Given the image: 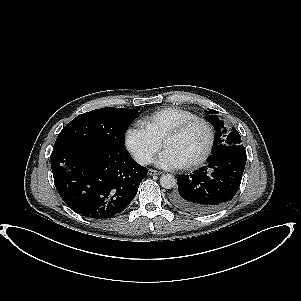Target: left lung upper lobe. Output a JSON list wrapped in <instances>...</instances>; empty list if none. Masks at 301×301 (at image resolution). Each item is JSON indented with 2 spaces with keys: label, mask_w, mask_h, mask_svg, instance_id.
<instances>
[{
  "label": "left lung upper lobe",
  "mask_w": 301,
  "mask_h": 301,
  "mask_svg": "<svg viewBox=\"0 0 301 301\" xmlns=\"http://www.w3.org/2000/svg\"><path fill=\"white\" fill-rule=\"evenodd\" d=\"M207 113L217 114L218 112L216 110H210ZM206 118L211 124H213L217 132L213 154L224 150L228 146L241 144V137L236 129H232L231 132H228L224 127V123L222 121H219V119L215 115H210Z\"/></svg>",
  "instance_id": "1"
}]
</instances>
